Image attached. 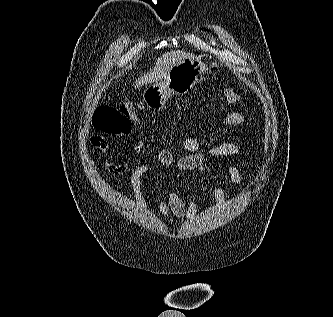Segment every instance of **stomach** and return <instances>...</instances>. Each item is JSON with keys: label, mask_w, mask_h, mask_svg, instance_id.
Masks as SVG:
<instances>
[{"label": "stomach", "mask_w": 333, "mask_h": 317, "mask_svg": "<svg viewBox=\"0 0 333 317\" xmlns=\"http://www.w3.org/2000/svg\"><path fill=\"white\" fill-rule=\"evenodd\" d=\"M207 71L198 58H187L174 65L164 80L145 88L143 101L150 109H162L172 95H183L198 83Z\"/></svg>", "instance_id": "obj_1"}]
</instances>
